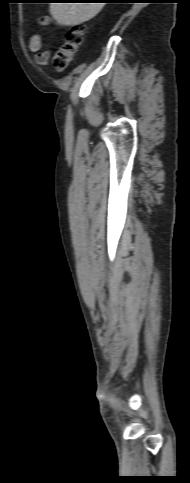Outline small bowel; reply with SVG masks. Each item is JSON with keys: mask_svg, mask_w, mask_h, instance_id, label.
<instances>
[{"mask_svg": "<svg viewBox=\"0 0 190 483\" xmlns=\"http://www.w3.org/2000/svg\"><path fill=\"white\" fill-rule=\"evenodd\" d=\"M53 18L49 16H44L41 18V24L43 26H50L53 23ZM43 46V37L41 33H36L31 36L29 41V49L31 52L36 53L35 59L36 62L41 65L45 66L48 63L50 52L49 50L45 49L42 50Z\"/></svg>", "mask_w": 190, "mask_h": 483, "instance_id": "1", "label": "small bowel"}]
</instances>
